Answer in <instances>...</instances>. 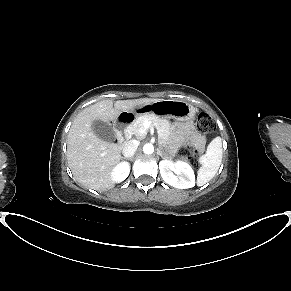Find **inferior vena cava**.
<instances>
[{
    "label": "inferior vena cava",
    "instance_id": "602c4592",
    "mask_svg": "<svg viewBox=\"0 0 291 291\" xmlns=\"http://www.w3.org/2000/svg\"><path fill=\"white\" fill-rule=\"evenodd\" d=\"M138 146H139V142L138 141H136V140L128 141L124 145V148H123V151H122L123 155L125 157H132L135 154Z\"/></svg>",
    "mask_w": 291,
    "mask_h": 291
}]
</instances>
